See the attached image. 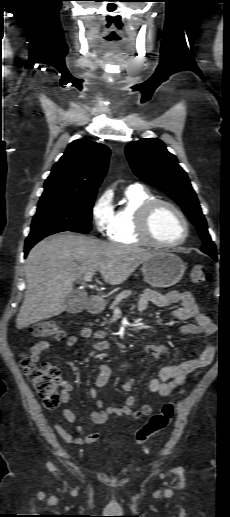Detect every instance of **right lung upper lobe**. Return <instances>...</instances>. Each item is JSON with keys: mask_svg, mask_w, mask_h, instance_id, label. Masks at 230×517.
I'll list each match as a JSON object with an SVG mask.
<instances>
[{"mask_svg": "<svg viewBox=\"0 0 230 517\" xmlns=\"http://www.w3.org/2000/svg\"><path fill=\"white\" fill-rule=\"evenodd\" d=\"M110 150L107 146L75 140L53 166L44 184L41 197L97 193L108 168Z\"/></svg>", "mask_w": 230, "mask_h": 517, "instance_id": "right-lung-upper-lobe-1", "label": "right lung upper lobe"}]
</instances>
